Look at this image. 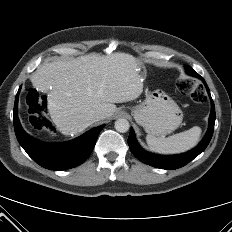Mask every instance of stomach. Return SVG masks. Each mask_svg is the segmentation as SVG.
<instances>
[{"label":"stomach","instance_id":"1","mask_svg":"<svg viewBox=\"0 0 232 232\" xmlns=\"http://www.w3.org/2000/svg\"><path fill=\"white\" fill-rule=\"evenodd\" d=\"M131 114L147 133L154 136L170 134L183 119L175 101L160 90L147 94L142 103L131 108Z\"/></svg>","mask_w":232,"mask_h":232}]
</instances>
